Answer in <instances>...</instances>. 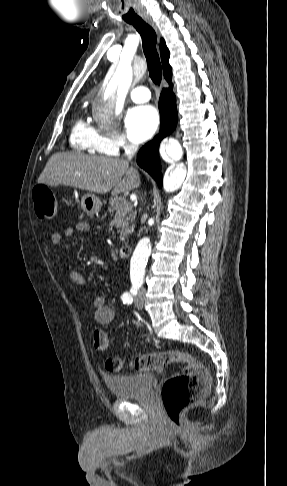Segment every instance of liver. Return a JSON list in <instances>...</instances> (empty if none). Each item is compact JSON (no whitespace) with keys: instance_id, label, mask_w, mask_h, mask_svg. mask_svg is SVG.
Masks as SVG:
<instances>
[{"instance_id":"liver-1","label":"liver","mask_w":287,"mask_h":486,"mask_svg":"<svg viewBox=\"0 0 287 486\" xmlns=\"http://www.w3.org/2000/svg\"><path fill=\"white\" fill-rule=\"evenodd\" d=\"M38 183L117 195L138 188L141 181L138 170L124 159L60 152L50 157Z\"/></svg>"}]
</instances>
